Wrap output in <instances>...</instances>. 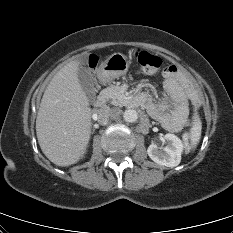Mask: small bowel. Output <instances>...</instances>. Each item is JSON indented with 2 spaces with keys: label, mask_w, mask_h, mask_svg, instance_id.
I'll list each match as a JSON object with an SVG mask.
<instances>
[{
  "label": "small bowel",
  "mask_w": 233,
  "mask_h": 233,
  "mask_svg": "<svg viewBox=\"0 0 233 233\" xmlns=\"http://www.w3.org/2000/svg\"><path fill=\"white\" fill-rule=\"evenodd\" d=\"M163 77L164 89L176 104L173 111L168 112L166 102L155 103L146 93L142 94L140 99L146 103L150 115L158 120L165 129L179 131L189 122L188 104L191 103L196 107L200 99L191 78L179 67L168 66L163 71Z\"/></svg>",
  "instance_id": "small-bowel-1"
}]
</instances>
